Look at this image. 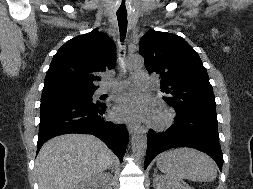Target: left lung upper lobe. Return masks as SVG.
I'll use <instances>...</instances> for the list:
<instances>
[{
	"label": "left lung upper lobe",
	"instance_id": "obj_1",
	"mask_svg": "<svg viewBox=\"0 0 253 189\" xmlns=\"http://www.w3.org/2000/svg\"><path fill=\"white\" fill-rule=\"evenodd\" d=\"M139 53L149 73H157L161 92L175 110L216 115L209 77L198 53L180 36L149 30L140 40Z\"/></svg>",
	"mask_w": 253,
	"mask_h": 189
}]
</instances>
